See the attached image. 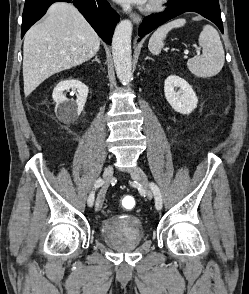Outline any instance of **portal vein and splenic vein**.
<instances>
[{"instance_id":"18ae733b","label":"portal vein and splenic vein","mask_w":249,"mask_h":294,"mask_svg":"<svg viewBox=\"0 0 249 294\" xmlns=\"http://www.w3.org/2000/svg\"><path fill=\"white\" fill-rule=\"evenodd\" d=\"M184 53L187 55L188 54V51H185Z\"/></svg>"}]
</instances>
